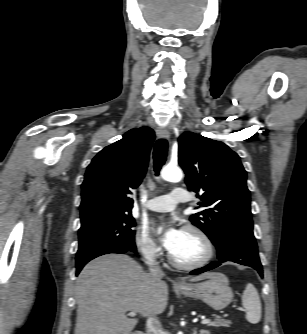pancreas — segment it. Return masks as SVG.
Returning a JSON list of instances; mask_svg holds the SVG:
<instances>
[{"label": "pancreas", "mask_w": 307, "mask_h": 334, "mask_svg": "<svg viewBox=\"0 0 307 334\" xmlns=\"http://www.w3.org/2000/svg\"><path fill=\"white\" fill-rule=\"evenodd\" d=\"M232 324L231 321L229 320H225V319H221L220 317H216L215 321L211 322L209 324V326H214V327H230V325Z\"/></svg>", "instance_id": "pancreas-1"}]
</instances>
